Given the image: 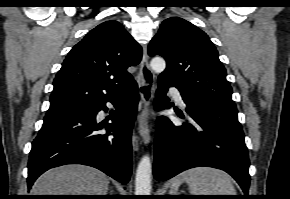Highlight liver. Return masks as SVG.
<instances>
[{"label":"liver","mask_w":290,"mask_h":199,"mask_svg":"<svg viewBox=\"0 0 290 199\" xmlns=\"http://www.w3.org/2000/svg\"><path fill=\"white\" fill-rule=\"evenodd\" d=\"M109 179L101 171L83 165L51 169L34 183L33 195H106Z\"/></svg>","instance_id":"obj_1"}]
</instances>
